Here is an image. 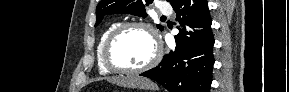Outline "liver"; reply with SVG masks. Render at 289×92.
<instances>
[{"label":"liver","instance_id":"6515ba94","mask_svg":"<svg viewBox=\"0 0 289 92\" xmlns=\"http://www.w3.org/2000/svg\"><path fill=\"white\" fill-rule=\"evenodd\" d=\"M115 83L120 85H125L129 87H150L151 82L146 79H116L114 80Z\"/></svg>","mask_w":289,"mask_h":92}]
</instances>
